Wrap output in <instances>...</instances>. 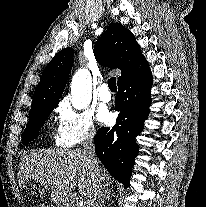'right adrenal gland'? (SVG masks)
I'll return each mask as SVG.
<instances>
[{
	"label": "right adrenal gland",
	"instance_id": "2a0ac1e0",
	"mask_svg": "<svg viewBox=\"0 0 206 207\" xmlns=\"http://www.w3.org/2000/svg\"><path fill=\"white\" fill-rule=\"evenodd\" d=\"M111 190H109L108 188H106L103 192H102V196H101V204L102 207L105 204V200L109 201L110 197L112 196L111 194Z\"/></svg>",
	"mask_w": 206,
	"mask_h": 207
}]
</instances>
